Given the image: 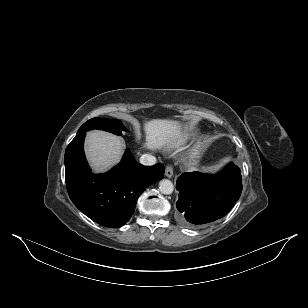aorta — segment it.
<instances>
[{"instance_id": "1", "label": "aorta", "mask_w": 308, "mask_h": 308, "mask_svg": "<svg viewBox=\"0 0 308 308\" xmlns=\"http://www.w3.org/2000/svg\"><path fill=\"white\" fill-rule=\"evenodd\" d=\"M159 190L161 191V193L169 195L174 190L173 183L168 179H163L159 183Z\"/></svg>"}]
</instances>
